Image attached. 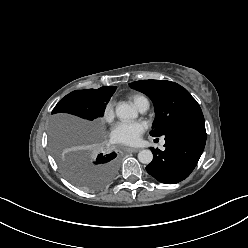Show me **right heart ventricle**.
<instances>
[{"mask_svg": "<svg viewBox=\"0 0 248 248\" xmlns=\"http://www.w3.org/2000/svg\"><path fill=\"white\" fill-rule=\"evenodd\" d=\"M134 105L138 108L142 103L148 102V99L142 94H134L131 96ZM149 103V102H148Z\"/></svg>", "mask_w": 248, "mask_h": 248, "instance_id": "1", "label": "right heart ventricle"}]
</instances>
